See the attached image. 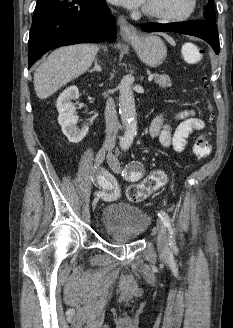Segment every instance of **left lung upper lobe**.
I'll use <instances>...</instances> for the list:
<instances>
[{
    "label": "left lung upper lobe",
    "instance_id": "5c2ea615",
    "mask_svg": "<svg viewBox=\"0 0 233 328\" xmlns=\"http://www.w3.org/2000/svg\"><path fill=\"white\" fill-rule=\"evenodd\" d=\"M205 12V20L208 22L215 23L216 17H215V11H214V3L213 0H208V3L204 6Z\"/></svg>",
    "mask_w": 233,
    "mask_h": 328
}]
</instances>
